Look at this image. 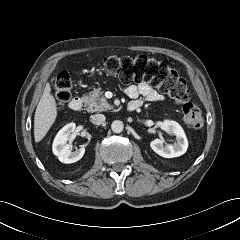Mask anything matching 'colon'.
Returning <instances> with one entry per match:
<instances>
[{
	"mask_svg": "<svg viewBox=\"0 0 240 240\" xmlns=\"http://www.w3.org/2000/svg\"><path fill=\"white\" fill-rule=\"evenodd\" d=\"M105 70L124 83L145 82L157 87L182 106L185 123L192 129H199L203 116L199 107L190 101V91L186 81L163 61L137 56H108L104 59ZM72 82L67 72H61L55 81L54 95L56 107L63 110L71 99Z\"/></svg>",
	"mask_w": 240,
	"mask_h": 240,
	"instance_id": "colon-1",
	"label": "colon"
}]
</instances>
